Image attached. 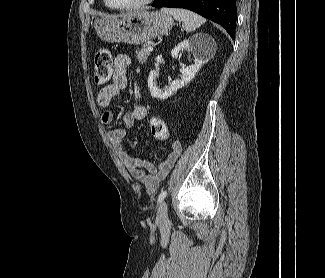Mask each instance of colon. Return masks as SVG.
I'll list each match as a JSON object with an SVG mask.
<instances>
[{"label":"colon","instance_id":"1","mask_svg":"<svg viewBox=\"0 0 325 278\" xmlns=\"http://www.w3.org/2000/svg\"><path fill=\"white\" fill-rule=\"evenodd\" d=\"M113 63L109 50L101 49L97 52L94 59V81L97 85L106 84L112 77ZM149 128L152 135L160 140L168 137L166 122L160 117L153 116L149 120Z\"/></svg>","mask_w":325,"mask_h":278}]
</instances>
